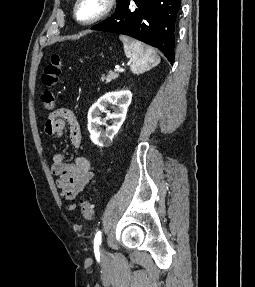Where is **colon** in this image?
Wrapping results in <instances>:
<instances>
[{"mask_svg": "<svg viewBox=\"0 0 255 287\" xmlns=\"http://www.w3.org/2000/svg\"><path fill=\"white\" fill-rule=\"evenodd\" d=\"M61 57L58 54H53L50 58L49 63L44 68V72L42 75V83L48 87H54L60 77L61 73ZM44 107L47 110H53L56 104V98L54 93L51 90H45L41 96ZM81 213L84 219L93 220L94 219V209L92 203L84 199L81 201Z\"/></svg>", "mask_w": 255, "mask_h": 287, "instance_id": "1", "label": "colon"}]
</instances>
